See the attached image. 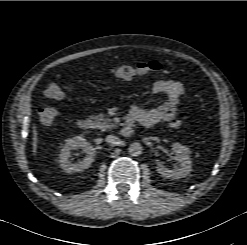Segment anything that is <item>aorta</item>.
Returning a JSON list of instances; mask_svg holds the SVG:
<instances>
[{"label":"aorta","mask_w":247,"mask_h":245,"mask_svg":"<svg viewBox=\"0 0 247 245\" xmlns=\"http://www.w3.org/2000/svg\"><path fill=\"white\" fill-rule=\"evenodd\" d=\"M143 147L139 142H133L129 145L128 152L131 156H139L142 154Z\"/></svg>","instance_id":"762f6f07"}]
</instances>
